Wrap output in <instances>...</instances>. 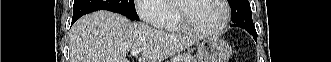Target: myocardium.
<instances>
[{
  "mask_svg": "<svg viewBox=\"0 0 331 62\" xmlns=\"http://www.w3.org/2000/svg\"><path fill=\"white\" fill-rule=\"evenodd\" d=\"M218 1L220 2V4L222 5V7L224 9V16H223L221 25L219 27H217L215 29H211V30L202 29V28L194 25L188 19V17L185 14V10H184V3L186 1H184V0L175 1V6L178 11V22L180 23L181 27L184 28L188 32L198 34V35H203V36L218 35L221 32H223L225 30V28L227 27L229 20H230V9H229L227 1H225V0H218Z\"/></svg>",
  "mask_w": 331,
  "mask_h": 62,
  "instance_id": "obj_1",
  "label": "myocardium"
}]
</instances>
